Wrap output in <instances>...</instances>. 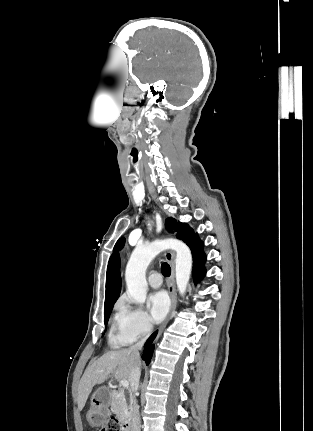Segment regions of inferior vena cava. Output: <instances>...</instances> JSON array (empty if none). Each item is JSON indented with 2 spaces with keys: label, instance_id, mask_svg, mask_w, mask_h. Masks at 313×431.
Segmentation results:
<instances>
[{
  "label": "inferior vena cava",
  "instance_id": "obj_1",
  "mask_svg": "<svg viewBox=\"0 0 313 431\" xmlns=\"http://www.w3.org/2000/svg\"><path fill=\"white\" fill-rule=\"evenodd\" d=\"M152 325L148 324V332L151 330ZM145 342V338L141 339L139 342L134 344L130 350L132 354L136 357H139V350L142 349ZM139 378H140V366L135 365L129 375V382L131 385V390L135 393L139 386ZM130 413H131V431H140V417H139V407L136 401L135 396H131L130 400Z\"/></svg>",
  "mask_w": 313,
  "mask_h": 431
}]
</instances>
